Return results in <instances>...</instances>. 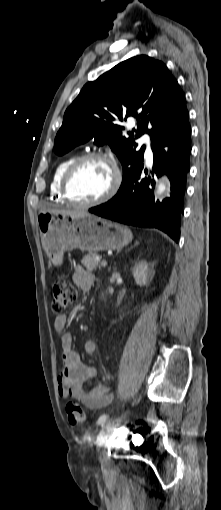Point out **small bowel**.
I'll return each mask as SVG.
<instances>
[{
  "instance_id": "small-bowel-1",
  "label": "small bowel",
  "mask_w": 221,
  "mask_h": 510,
  "mask_svg": "<svg viewBox=\"0 0 221 510\" xmlns=\"http://www.w3.org/2000/svg\"><path fill=\"white\" fill-rule=\"evenodd\" d=\"M73 282L80 289L88 291L94 283L93 274L84 267H75ZM68 318L65 314L58 315L54 320V328L57 331L65 330ZM62 367L58 376V392L62 398H74L89 409H97L108 405L112 401L110 387L105 384H97L91 390H86L84 385L87 381L95 378L96 370L84 364L79 355L73 349V337L70 333L61 336ZM89 355L97 351L94 341L88 340L84 346Z\"/></svg>"
}]
</instances>
